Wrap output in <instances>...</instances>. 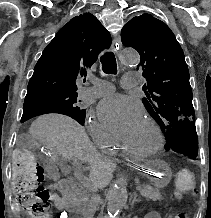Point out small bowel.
I'll return each mask as SVG.
<instances>
[{
    "label": "small bowel",
    "mask_w": 211,
    "mask_h": 218,
    "mask_svg": "<svg viewBox=\"0 0 211 218\" xmlns=\"http://www.w3.org/2000/svg\"><path fill=\"white\" fill-rule=\"evenodd\" d=\"M51 188L54 190V192L51 194V197H50L52 202L55 204V206L59 210H63L65 208V205H64L63 199L56 192L58 190L57 184L51 185ZM145 218H161V215L157 211H150L149 213H147ZM169 218H172V216H169Z\"/></svg>",
    "instance_id": "c3829d8e"
}]
</instances>
